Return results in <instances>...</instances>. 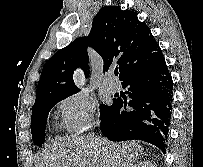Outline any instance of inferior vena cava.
I'll return each instance as SVG.
<instances>
[{"label": "inferior vena cava", "mask_w": 203, "mask_h": 167, "mask_svg": "<svg viewBox=\"0 0 203 167\" xmlns=\"http://www.w3.org/2000/svg\"><path fill=\"white\" fill-rule=\"evenodd\" d=\"M90 136H91L92 139H96V136H95L94 133H92Z\"/></svg>", "instance_id": "602c4592"}]
</instances>
